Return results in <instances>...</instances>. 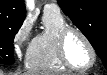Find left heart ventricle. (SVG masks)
Segmentation results:
<instances>
[{
  "label": "left heart ventricle",
  "instance_id": "obj_1",
  "mask_svg": "<svg viewBox=\"0 0 107 75\" xmlns=\"http://www.w3.org/2000/svg\"><path fill=\"white\" fill-rule=\"evenodd\" d=\"M66 53L72 64L83 67L91 62V53L83 41L76 33H71L66 41Z\"/></svg>",
  "mask_w": 107,
  "mask_h": 75
}]
</instances>
